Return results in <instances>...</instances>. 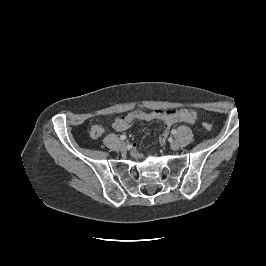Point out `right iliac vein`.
Masks as SVG:
<instances>
[{"instance_id":"obj_1","label":"right iliac vein","mask_w":266,"mask_h":266,"mask_svg":"<svg viewBox=\"0 0 266 266\" xmlns=\"http://www.w3.org/2000/svg\"><path fill=\"white\" fill-rule=\"evenodd\" d=\"M127 147H128L127 142H121V143H120V149H121L122 151H125V150L127 149Z\"/></svg>"}]
</instances>
